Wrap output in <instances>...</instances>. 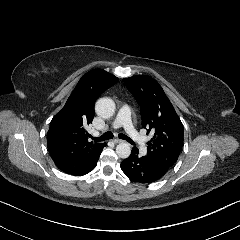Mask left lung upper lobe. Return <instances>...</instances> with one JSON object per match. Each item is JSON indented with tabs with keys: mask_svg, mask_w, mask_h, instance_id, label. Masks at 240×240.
<instances>
[{
	"mask_svg": "<svg viewBox=\"0 0 240 240\" xmlns=\"http://www.w3.org/2000/svg\"><path fill=\"white\" fill-rule=\"evenodd\" d=\"M140 106L142 127L153 132L146 157L171 168L183 147L184 128L162 87L146 75L123 79ZM136 148V147H135Z\"/></svg>",
	"mask_w": 240,
	"mask_h": 240,
	"instance_id": "1",
	"label": "left lung upper lobe"
}]
</instances>
